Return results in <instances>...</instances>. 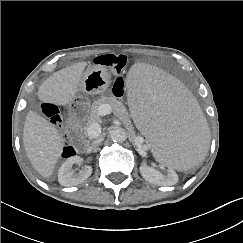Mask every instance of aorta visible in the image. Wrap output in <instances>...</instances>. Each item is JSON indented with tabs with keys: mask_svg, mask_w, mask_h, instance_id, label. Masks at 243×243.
I'll return each mask as SVG.
<instances>
[{
	"mask_svg": "<svg viewBox=\"0 0 243 243\" xmlns=\"http://www.w3.org/2000/svg\"><path fill=\"white\" fill-rule=\"evenodd\" d=\"M110 137L114 142H124L127 139L126 132L122 128L113 129L110 132Z\"/></svg>",
	"mask_w": 243,
	"mask_h": 243,
	"instance_id": "aorta-1",
	"label": "aorta"
}]
</instances>
